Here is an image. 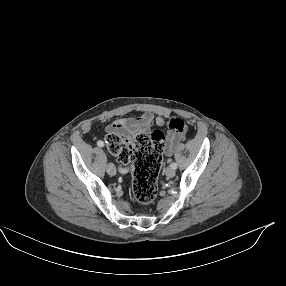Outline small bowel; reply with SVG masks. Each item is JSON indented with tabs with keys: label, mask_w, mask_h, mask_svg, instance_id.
<instances>
[{
	"label": "small bowel",
	"mask_w": 286,
	"mask_h": 286,
	"mask_svg": "<svg viewBox=\"0 0 286 286\" xmlns=\"http://www.w3.org/2000/svg\"><path fill=\"white\" fill-rule=\"evenodd\" d=\"M181 120L178 116L170 114L153 115L145 112L137 117L118 118L106 127L108 135L117 134L126 139L132 140L137 135L150 134L153 127H168L164 152L166 155H172L174 149L184 138L186 129L182 131L177 124Z\"/></svg>",
	"instance_id": "1"
}]
</instances>
